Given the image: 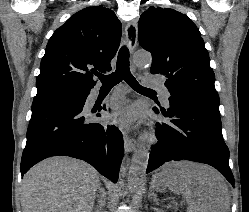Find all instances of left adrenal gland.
Listing matches in <instances>:
<instances>
[{"label": "left adrenal gland", "instance_id": "1", "mask_svg": "<svg viewBox=\"0 0 249 212\" xmlns=\"http://www.w3.org/2000/svg\"><path fill=\"white\" fill-rule=\"evenodd\" d=\"M148 198H151V192H149V194H148Z\"/></svg>", "mask_w": 249, "mask_h": 212}]
</instances>
